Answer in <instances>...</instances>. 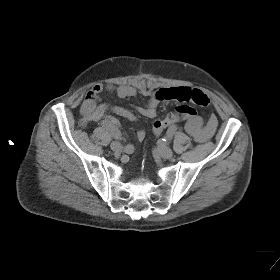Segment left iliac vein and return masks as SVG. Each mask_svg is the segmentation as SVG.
<instances>
[{"instance_id":"1","label":"left iliac vein","mask_w":280,"mask_h":280,"mask_svg":"<svg viewBox=\"0 0 280 280\" xmlns=\"http://www.w3.org/2000/svg\"><path fill=\"white\" fill-rule=\"evenodd\" d=\"M158 153L162 158L170 159L173 156V151L168 147L158 148Z\"/></svg>"}]
</instances>
